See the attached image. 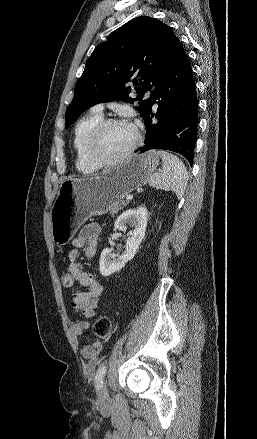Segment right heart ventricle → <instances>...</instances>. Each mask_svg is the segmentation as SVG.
Wrapping results in <instances>:
<instances>
[{"label":"right heart ventricle","instance_id":"1","mask_svg":"<svg viewBox=\"0 0 257 439\" xmlns=\"http://www.w3.org/2000/svg\"><path fill=\"white\" fill-rule=\"evenodd\" d=\"M103 120L100 112L92 111L82 117L76 124L73 133V148L76 154V168L84 173L91 174L96 166L90 161L86 152V142L93 128Z\"/></svg>","mask_w":257,"mask_h":439}]
</instances>
